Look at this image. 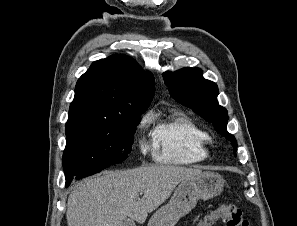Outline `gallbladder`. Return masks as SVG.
Masks as SVG:
<instances>
[{
  "instance_id": "1",
  "label": "gallbladder",
  "mask_w": 297,
  "mask_h": 226,
  "mask_svg": "<svg viewBox=\"0 0 297 226\" xmlns=\"http://www.w3.org/2000/svg\"><path fill=\"white\" fill-rule=\"evenodd\" d=\"M123 226H136L135 222L131 219L124 220Z\"/></svg>"
}]
</instances>
